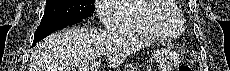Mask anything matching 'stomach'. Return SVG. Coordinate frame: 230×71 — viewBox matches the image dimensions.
Listing matches in <instances>:
<instances>
[{"mask_svg":"<svg viewBox=\"0 0 230 71\" xmlns=\"http://www.w3.org/2000/svg\"><path fill=\"white\" fill-rule=\"evenodd\" d=\"M153 56L160 71H173L179 64L178 55L170 49L156 51Z\"/></svg>","mask_w":230,"mask_h":71,"instance_id":"obj_1","label":"stomach"}]
</instances>
